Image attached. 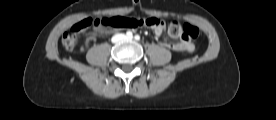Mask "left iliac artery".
I'll return each instance as SVG.
<instances>
[{"mask_svg":"<svg viewBox=\"0 0 276 120\" xmlns=\"http://www.w3.org/2000/svg\"><path fill=\"white\" fill-rule=\"evenodd\" d=\"M135 40H140V36L139 35H135Z\"/></svg>","mask_w":276,"mask_h":120,"instance_id":"left-iliac-artery-1","label":"left iliac artery"}]
</instances>
